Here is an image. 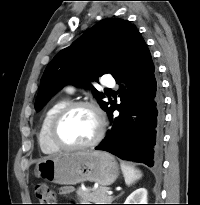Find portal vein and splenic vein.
I'll use <instances>...</instances> for the list:
<instances>
[{
  "label": "portal vein and splenic vein",
  "mask_w": 200,
  "mask_h": 205,
  "mask_svg": "<svg viewBox=\"0 0 200 205\" xmlns=\"http://www.w3.org/2000/svg\"><path fill=\"white\" fill-rule=\"evenodd\" d=\"M107 194H108V195H112L113 192H112V191H108Z\"/></svg>",
  "instance_id": "portal-vein-and-splenic-vein-1"
}]
</instances>
